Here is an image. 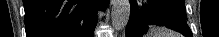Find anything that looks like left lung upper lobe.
Returning a JSON list of instances; mask_svg holds the SVG:
<instances>
[{
    "label": "left lung upper lobe",
    "mask_w": 219,
    "mask_h": 37,
    "mask_svg": "<svg viewBox=\"0 0 219 37\" xmlns=\"http://www.w3.org/2000/svg\"><path fill=\"white\" fill-rule=\"evenodd\" d=\"M172 4L175 8L179 9L186 16V9L184 0H159Z\"/></svg>",
    "instance_id": "1"
}]
</instances>
